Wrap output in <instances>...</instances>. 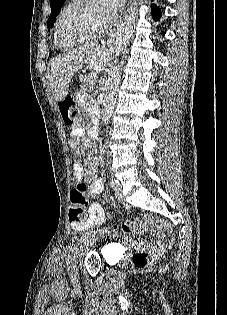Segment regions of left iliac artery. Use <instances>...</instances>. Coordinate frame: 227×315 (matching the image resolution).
<instances>
[{"mask_svg":"<svg viewBox=\"0 0 227 315\" xmlns=\"http://www.w3.org/2000/svg\"><path fill=\"white\" fill-rule=\"evenodd\" d=\"M115 182H116L115 179H111L110 185H111L112 188H113V186L115 185ZM91 233H92V230H90V231L86 232L85 234H83V235L81 236L80 240H79V244H81L82 242H84V241L91 235Z\"/></svg>","mask_w":227,"mask_h":315,"instance_id":"left-iliac-artery-1","label":"left iliac artery"}]
</instances>
